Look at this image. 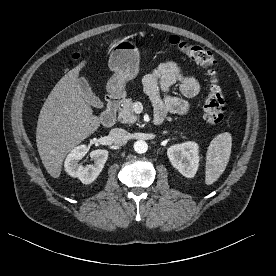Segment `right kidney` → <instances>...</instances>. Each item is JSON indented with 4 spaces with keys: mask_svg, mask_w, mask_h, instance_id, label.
Segmentation results:
<instances>
[{
    "mask_svg": "<svg viewBox=\"0 0 276 276\" xmlns=\"http://www.w3.org/2000/svg\"><path fill=\"white\" fill-rule=\"evenodd\" d=\"M88 149L86 145L75 147L66 157L65 171L72 177H77L83 184H91L96 180L108 159V151L98 149L91 152L94 164L83 166L79 161L86 155Z\"/></svg>",
    "mask_w": 276,
    "mask_h": 276,
    "instance_id": "1",
    "label": "right kidney"
}]
</instances>
